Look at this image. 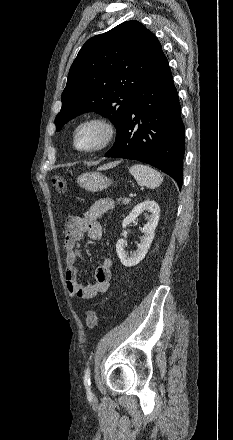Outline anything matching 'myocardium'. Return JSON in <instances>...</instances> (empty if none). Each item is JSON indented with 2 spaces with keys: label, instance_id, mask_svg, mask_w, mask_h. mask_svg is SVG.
<instances>
[{
  "label": "myocardium",
  "instance_id": "1",
  "mask_svg": "<svg viewBox=\"0 0 233 440\" xmlns=\"http://www.w3.org/2000/svg\"><path fill=\"white\" fill-rule=\"evenodd\" d=\"M95 124L100 126L104 131V137L99 145L96 147L90 148V149H84L79 147L77 139H78V133L86 125ZM117 135V128L115 124L109 120L108 118L101 116V115H94L87 117L80 121L74 131H73V146L76 150L83 152V153H96L105 150L108 148L113 141L115 140Z\"/></svg>",
  "mask_w": 233,
  "mask_h": 440
}]
</instances>
